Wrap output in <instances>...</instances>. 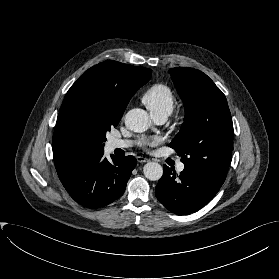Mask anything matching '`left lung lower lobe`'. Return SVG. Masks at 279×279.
Returning a JSON list of instances; mask_svg holds the SVG:
<instances>
[{
    "instance_id": "left-lung-lower-lobe-1",
    "label": "left lung lower lobe",
    "mask_w": 279,
    "mask_h": 279,
    "mask_svg": "<svg viewBox=\"0 0 279 279\" xmlns=\"http://www.w3.org/2000/svg\"><path fill=\"white\" fill-rule=\"evenodd\" d=\"M163 170L155 194L169 211L177 215H186L199 210L223 185L206 173L185 167L178 176L166 165H163Z\"/></svg>"
}]
</instances>
